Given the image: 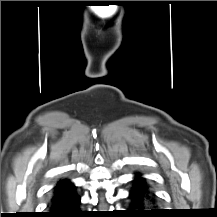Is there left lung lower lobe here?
<instances>
[{
	"instance_id": "left-lung-lower-lobe-1",
	"label": "left lung lower lobe",
	"mask_w": 217,
	"mask_h": 217,
	"mask_svg": "<svg viewBox=\"0 0 217 217\" xmlns=\"http://www.w3.org/2000/svg\"><path fill=\"white\" fill-rule=\"evenodd\" d=\"M131 217H162L164 212L158 209L155 195L144 178L137 175L129 193Z\"/></svg>"
}]
</instances>
